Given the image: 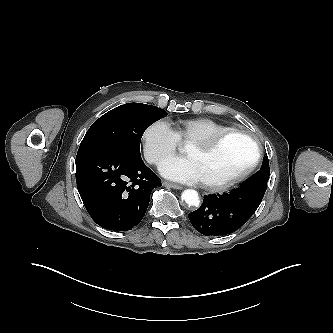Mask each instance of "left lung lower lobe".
<instances>
[{"instance_id": "0a47b994", "label": "left lung lower lobe", "mask_w": 333, "mask_h": 333, "mask_svg": "<svg viewBox=\"0 0 333 333\" xmlns=\"http://www.w3.org/2000/svg\"><path fill=\"white\" fill-rule=\"evenodd\" d=\"M265 191V186H239L229 193L204 196L200 208L189 214L190 222L205 236L230 234L251 218Z\"/></svg>"}]
</instances>
